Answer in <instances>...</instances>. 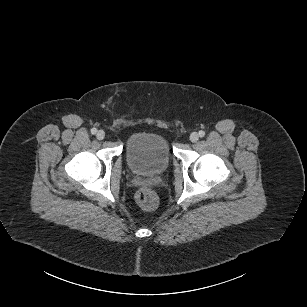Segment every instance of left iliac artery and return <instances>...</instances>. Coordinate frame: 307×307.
<instances>
[{"label": "left iliac artery", "instance_id": "1", "mask_svg": "<svg viewBox=\"0 0 307 307\" xmlns=\"http://www.w3.org/2000/svg\"><path fill=\"white\" fill-rule=\"evenodd\" d=\"M199 136H200V137H204V136H205V132H204V131H202V130H201V131H199Z\"/></svg>", "mask_w": 307, "mask_h": 307}]
</instances>
